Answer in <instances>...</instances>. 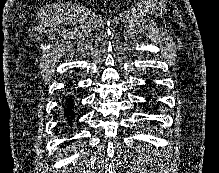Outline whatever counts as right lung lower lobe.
Wrapping results in <instances>:
<instances>
[{"label":"right lung lower lobe","mask_w":219,"mask_h":173,"mask_svg":"<svg viewBox=\"0 0 219 173\" xmlns=\"http://www.w3.org/2000/svg\"><path fill=\"white\" fill-rule=\"evenodd\" d=\"M65 109V113L67 116V120H69V122L71 123L70 120H72V118L74 117V113L72 111L73 108V100L71 98H69L66 102V105L63 107Z\"/></svg>","instance_id":"98d812e1"}]
</instances>
